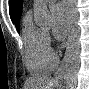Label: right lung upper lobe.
<instances>
[{
  "mask_svg": "<svg viewBox=\"0 0 89 89\" xmlns=\"http://www.w3.org/2000/svg\"><path fill=\"white\" fill-rule=\"evenodd\" d=\"M21 12H22V1L19 2L18 6H17V11H16V29H17V31L20 30ZM13 19H12V21H13Z\"/></svg>",
  "mask_w": 89,
  "mask_h": 89,
  "instance_id": "obj_1",
  "label": "right lung upper lobe"
}]
</instances>
